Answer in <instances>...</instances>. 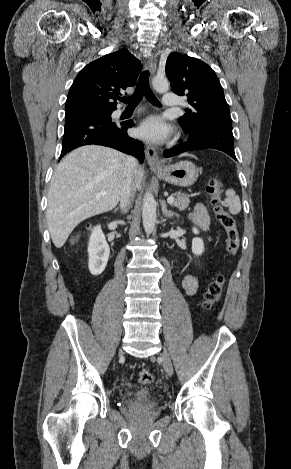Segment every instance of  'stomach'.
Masks as SVG:
<instances>
[{"label":"stomach","mask_w":291,"mask_h":469,"mask_svg":"<svg viewBox=\"0 0 291 469\" xmlns=\"http://www.w3.org/2000/svg\"><path fill=\"white\" fill-rule=\"evenodd\" d=\"M154 171L160 179L182 187L191 186L198 178L195 164L188 160L166 165L162 169Z\"/></svg>","instance_id":"0dacf381"}]
</instances>
